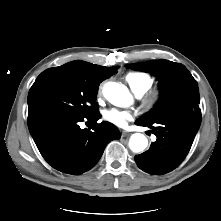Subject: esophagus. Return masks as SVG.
Instances as JSON below:
<instances>
[{"label": "esophagus", "mask_w": 221, "mask_h": 221, "mask_svg": "<svg viewBox=\"0 0 221 221\" xmlns=\"http://www.w3.org/2000/svg\"><path fill=\"white\" fill-rule=\"evenodd\" d=\"M127 135H129L128 131H122V136H127Z\"/></svg>", "instance_id": "1"}]
</instances>
